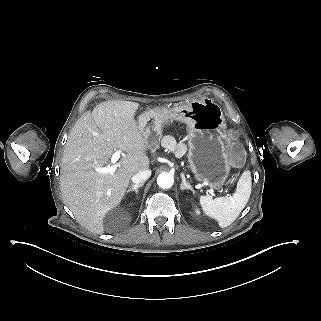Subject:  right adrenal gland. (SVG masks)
<instances>
[{"mask_svg": "<svg viewBox=\"0 0 321 321\" xmlns=\"http://www.w3.org/2000/svg\"><path fill=\"white\" fill-rule=\"evenodd\" d=\"M144 183L138 184V185H132L128 190L127 193L134 191L136 194H138V189L142 187Z\"/></svg>", "mask_w": 321, "mask_h": 321, "instance_id": "2a0ac1e0", "label": "right adrenal gland"}]
</instances>
